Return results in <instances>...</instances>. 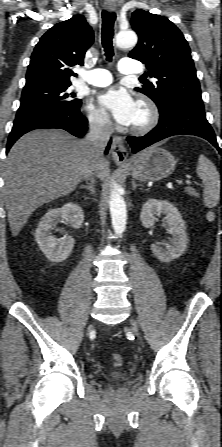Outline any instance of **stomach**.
Instances as JSON below:
<instances>
[{"instance_id":"1","label":"stomach","mask_w":222,"mask_h":447,"mask_svg":"<svg viewBox=\"0 0 222 447\" xmlns=\"http://www.w3.org/2000/svg\"><path fill=\"white\" fill-rule=\"evenodd\" d=\"M176 159L167 150L152 146L132 156L124 165L126 173L140 181H157L175 170Z\"/></svg>"}]
</instances>
